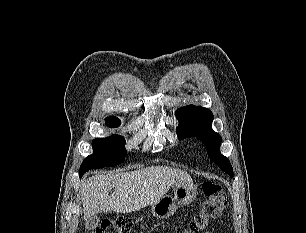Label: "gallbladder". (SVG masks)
<instances>
[{
    "mask_svg": "<svg viewBox=\"0 0 306 233\" xmlns=\"http://www.w3.org/2000/svg\"><path fill=\"white\" fill-rule=\"evenodd\" d=\"M99 221H100V219L98 218L97 215L89 217L88 219H86V223H85L86 228L89 229V230L96 228Z\"/></svg>",
    "mask_w": 306,
    "mask_h": 233,
    "instance_id": "1",
    "label": "gallbladder"
}]
</instances>
